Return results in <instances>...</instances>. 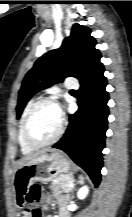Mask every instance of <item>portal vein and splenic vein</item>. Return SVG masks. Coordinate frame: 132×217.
Returning <instances> with one entry per match:
<instances>
[{"label": "portal vein and splenic vein", "mask_w": 132, "mask_h": 217, "mask_svg": "<svg viewBox=\"0 0 132 217\" xmlns=\"http://www.w3.org/2000/svg\"><path fill=\"white\" fill-rule=\"evenodd\" d=\"M72 186H73V183H70V184H69V187H72Z\"/></svg>", "instance_id": "obj_1"}]
</instances>
